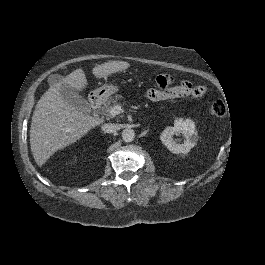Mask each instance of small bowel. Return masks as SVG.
I'll return each instance as SVG.
<instances>
[{"label": "small bowel", "instance_id": "obj_1", "mask_svg": "<svg viewBox=\"0 0 265 265\" xmlns=\"http://www.w3.org/2000/svg\"><path fill=\"white\" fill-rule=\"evenodd\" d=\"M206 93V86L192 85L190 82L183 80L179 85L165 90L149 89L146 92V98L153 102H160L184 97L200 98Z\"/></svg>", "mask_w": 265, "mask_h": 265}]
</instances>
